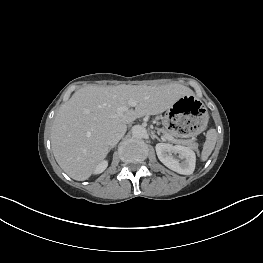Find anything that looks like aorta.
Wrapping results in <instances>:
<instances>
[{
	"instance_id": "1",
	"label": "aorta",
	"mask_w": 263,
	"mask_h": 263,
	"mask_svg": "<svg viewBox=\"0 0 263 263\" xmlns=\"http://www.w3.org/2000/svg\"><path fill=\"white\" fill-rule=\"evenodd\" d=\"M131 131H132V136L137 139L145 138V136L147 135L146 128L143 127L142 125L133 126Z\"/></svg>"
}]
</instances>
